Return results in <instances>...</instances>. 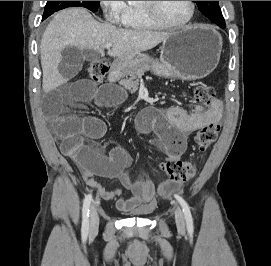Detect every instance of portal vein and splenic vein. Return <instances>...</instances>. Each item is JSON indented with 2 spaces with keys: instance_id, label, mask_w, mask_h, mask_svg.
<instances>
[{
  "instance_id": "18ae733b",
  "label": "portal vein and splenic vein",
  "mask_w": 271,
  "mask_h": 266,
  "mask_svg": "<svg viewBox=\"0 0 271 266\" xmlns=\"http://www.w3.org/2000/svg\"><path fill=\"white\" fill-rule=\"evenodd\" d=\"M111 46H112L111 44H105L104 48L110 49Z\"/></svg>"
}]
</instances>
